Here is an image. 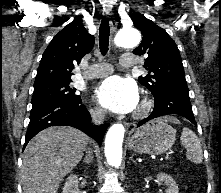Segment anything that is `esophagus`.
<instances>
[{"label":"esophagus","instance_id":"1","mask_svg":"<svg viewBox=\"0 0 221 193\" xmlns=\"http://www.w3.org/2000/svg\"><path fill=\"white\" fill-rule=\"evenodd\" d=\"M110 25H111V30H112V32L115 33V32H116V28H117V27H116V22L112 20V21L110 22ZM125 126H126L127 129H132V128L135 127L133 124H126Z\"/></svg>","mask_w":221,"mask_h":193}]
</instances>
